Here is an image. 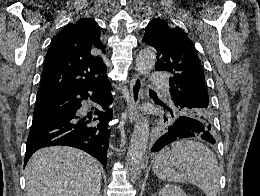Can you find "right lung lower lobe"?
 Returning <instances> with one entry per match:
<instances>
[{"label": "right lung lower lobe", "mask_w": 260, "mask_h": 196, "mask_svg": "<svg viewBox=\"0 0 260 196\" xmlns=\"http://www.w3.org/2000/svg\"><path fill=\"white\" fill-rule=\"evenodd\" d=\"M111 84L107 79L79 90L67 93L35 109L59 115L58 118L32 126L27 139L24 166L31 155L47 146L65 145L79 148L97 158L106 167L109 142V121L112 113L108 109L111 101ZM91 99L104 111L97 108L83 117L81 102Z\"/></svg>", "instance_id": "right-lung-lower-lobe-1"}]
</instances>
